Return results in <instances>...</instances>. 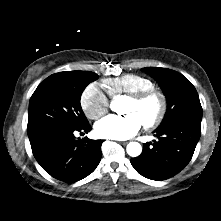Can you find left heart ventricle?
I'll list each match as a JSON object with an SVG mask.
<instances>
[{
  "label": "left heart ventricle",
  "mask_w": 221,
  "mask_h": 221,
  "mask_svg": "<svg viewBox=\"0 0 221 221\" xmlns=\"http://www.w3.org/2000/svg\"><path fill=\"white\" fill-rule=\"evenodd\" d=\"M157 109L158 103L154 99L142 104H136L128 99L124 107V113H135L140 117L142 122H144L151 119L156 114Z\"/></svg>",
  "instance_id": "b2bd125f"
}]
</instances>
